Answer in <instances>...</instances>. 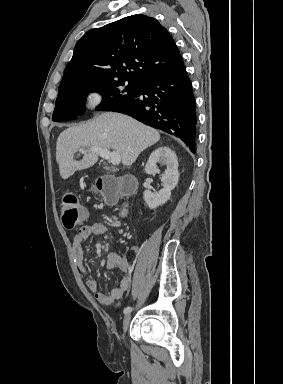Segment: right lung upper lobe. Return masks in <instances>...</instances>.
I'll use <instances>...</instances> for the list:
<instances>
[{"label": "right lung upper lobe", "instance_id": "cb5924a9", "mask_svg": "<svg viewBox=\"0 0 283 384\" xmlns=\"http://www.w3.org/2000/svg\"><path fill=\"white\" fill-rule=\"evenodd\" d=\"M183 66L167 29L156 19L137 14L85 33L76 43L59 87L116 79L140 84Z\"/></svg>", "mask_w": 283, "mask_h": 384}]
</instances>
